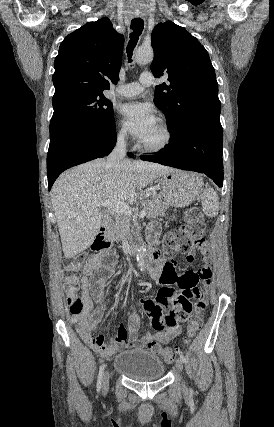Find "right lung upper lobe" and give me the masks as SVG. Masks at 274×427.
<instances>
[{"label": "right lung upper lobe", "mask_w": 274, "mask_h": 427, "mask_svg": "<svg viewBox=\"0 0 274 427\" xmlns=\"http://www.w3.org/2000/svg\"><path fill=\"white\" fill-rule=\"evenodd\" d=\"M123 46V35L107 17L66 36L54 61L53 102L66 94L102 93L117 84Z\"/></svg>", "instance_id": "cb5924a9"}]
</instances>
